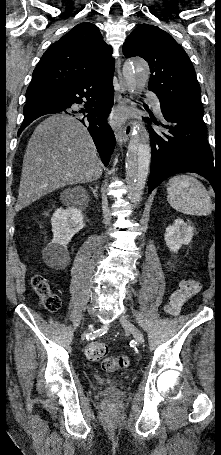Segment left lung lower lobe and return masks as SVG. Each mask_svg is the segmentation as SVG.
I'll return each instance as SVG.
<instances>
[{
  "instance_id": "0a47b994",
  "label": "left lung lower lobe",
  "mask_w": 221,
  "mask_h": 455,
  "mask_svg": "<svg viewBox=\"0 0 221 455\" xmlns=\"http://www.w3.org/2000/svg\"><path fill=\"white\" fill-rule=\"evenodd\" d=\"M161 112L164 124L151 116L163 131L152 128L150 131L149 193L166 178L181 172H194L205 177L217 192L221 188V170L214 167L203 117L164 105H161Z\"/></svg>"
}]
</instances>
